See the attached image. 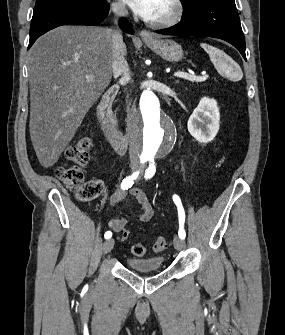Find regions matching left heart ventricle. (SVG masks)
<instances>
[{
	"label": "left heart ventricle",
	"instance_id": "b2bd125f",
	"mask_svg": "<svg viewBox=\"0 0 285 335\" xmlns=\"http://www.w3.org/2000/svg\"><path fill=\"white\" fill-rule=\"evenodd\" d=\"M156 5H157V11L154 21L162 19L168 12L167 1H156Z\"/></svg>",
	"mask_w": 285,
	"mask_h": 335
}]
</instances>
